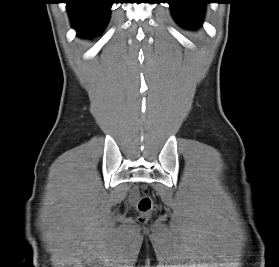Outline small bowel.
<instances>
[{"label": "small bowel", "mask_w": 279, "mask_h": 267, "mask_svg": "<svg viewBox=\"0 0 279 267\" xmlns=\"http://www.w3.org/2000/svg\"><path fill=\"white\" fill-rule=\"evenodd\" d=\"M136 198H137V195L135 193H133L132 196H131V200L134 201Z\"/></svg>", "instance_id": "1"}]
</instances>
